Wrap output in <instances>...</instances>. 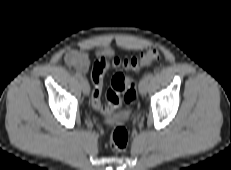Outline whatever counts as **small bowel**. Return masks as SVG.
<instances>
[{
	"mask_svg": "<svg viewBox=\"0 0 231 170\" xmlns=\"http://www.w3.org/2000/svg\"><path fill=\"white\" fill-rule=\"evenodd\" d=\"M113 54L114 51L109 46H106L97 52V56L100 58L111 57ZM64 61L68 66L76 69L80 74L87 73L90 67V55L84 48L67 51L64 55Z\"/></svg>",
	"mask_w": 231,
	"mask_h": 170,
	"instance_id": "small-bowel-1",
	"label": "small bowel"
}]
</instances>
